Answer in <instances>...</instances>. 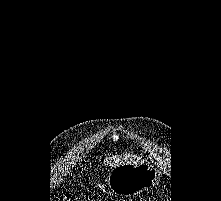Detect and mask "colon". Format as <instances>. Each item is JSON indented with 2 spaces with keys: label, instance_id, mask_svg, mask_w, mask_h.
<instances>
[{
  "label": "colon",
  "instance_id": "5ec220e1",
  "mask_svg": "<svg viewBox=\"0 0 221 201\" xmlns=\"http://www.w3.org/2000/svg\"><path fill=\"white\" fill-rule=\"evenodd\" d=\"M59 201H78L76 198H73L69 195L63 196L59 199Z\"/></svg>",
  "mask_w": 221,
  "mask_h": 201
}]
</instances>
